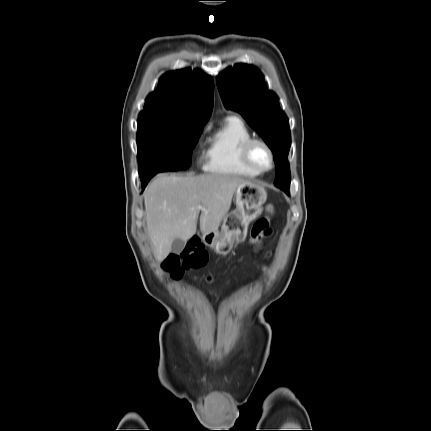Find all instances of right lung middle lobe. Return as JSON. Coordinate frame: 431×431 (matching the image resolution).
I'll return each mask as SVG.
<instances>
[{
    "mask_svg": "<svg viewBox=\"0 0 431 431\" xmlns=\"http://www.w3.org/2000/svg\"><path fill=\"white\" fill-rule=\"evenodd\" d=\"M203 126L161 119L138 120L140 177L187 169Z\"/></svg>",
    "mask_w": 431,
    "mask_h": 431,
    "instance_id": "dd1d6c3e",
    "label": "right lung middle lobe"
}]
</instances>
